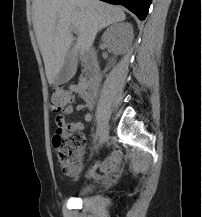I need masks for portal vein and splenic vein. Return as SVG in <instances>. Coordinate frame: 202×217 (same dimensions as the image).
<instances>
[{
  "mask_svg": "<svg viewBox=\"0 0 202 217\" xmlns=\"http://www.w3.org/2000/svg\"><path fill=\"white\" fill-rule=\"evenodd\" d=\"M72 32H74V33H78V30L76 29V28H74V27H71V29H70Z\"/></svg>",
  "mask_w": 202,
  "mask_h": 217,
  "instance_id": "1",
  "label": "portal vein and splenic vein"
}]
</instances>
